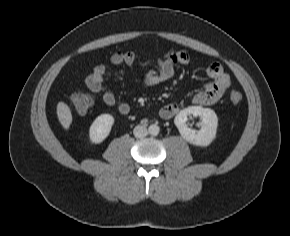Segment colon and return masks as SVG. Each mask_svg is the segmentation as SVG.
<instances>
[{
	"label": "colon",
	"instance_id": "5ec220e1",
	"mask_svg": "<svg viewBox=\"0 0 290 236\" xmlns=\"http://www.w3.org/2000/svg\"><path fill=\"white\" fill-rule=\"evenodd\" d=\"M229 98L232 103L238 104L242 101L243 95L239 91H233ZM70 99L78 113L87 112L93 104V98L89 94L83 92H75L71 95Z\"/></svg>",
	"mask_w": 290,
	"mask_h": 236
}]
</instances>
